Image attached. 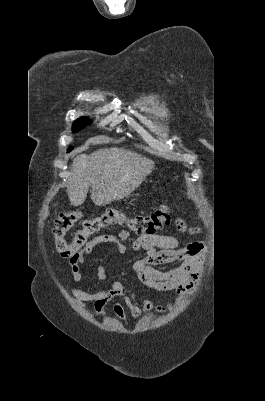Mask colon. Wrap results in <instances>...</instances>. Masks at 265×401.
I'll return each instance as SVG.
<instances>
[{"mask_svg": "<svg viewBox=\"0 0 265 401\" xmlns=\"http://www.w3.org/2000/svg\"><path fill=\"white\" fill-rule=\"evenodd\" d=\"M80 211H72L61 214L55 221L52 230L55 246L58 253L65 258L74 256L84 248L88 238L103 227L119 224L126 226L138 235H151L170 223V213L166 203L151 214L128 217L125 213L110 209L102 215L85 220L82 228L76 233L72 242H67L65 237L75 223L81 218Z\"/></svg>", "mask_w": 265, "mask_h": 401, "instance_id": "5ec220e1", "label": "colon"}]
</instances>
